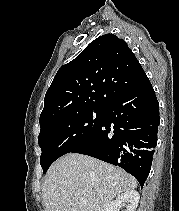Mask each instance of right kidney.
I'll list each match as a JSON object with an SVG mask.
<instances>
[{
    "label": "right kidney",
    "instance_id": "obj_1",
    "mask_svg": "<svg viewBox=\"0 0 179 211\" xmlns=\"http://www.w3.org/2000/svg\"><path fill=\"white\" fill-rule=\"evenodd\" d=\"M139 202V193L135 190L126 191L110 202L103 211H120L123 205H126L125 211H135Z\"/></svg>",
    "mask_w": 179,
    "mask_h": 211
}]
</instances>
